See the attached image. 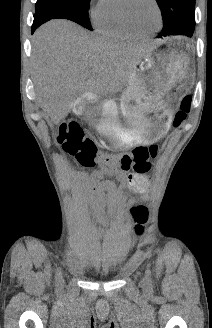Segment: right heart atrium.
I'll return each mask as SVG.
<instances>
[{"mask_svg": "<svg viewBox=\"0 0 212 328\" xmlns=\"http://www.w3.org/2000/svg\"><path fill=\"white\" fill-rule=\"evenodd\" d=\"M96 10H97V9H96ZM96 10H94V11L92 12L93 17H94V15H95V13H96Z\"/></svg>", "mask_w": 212, "mask_h": 328, "instance_id": "right-heart-atrium-1", "label": "right heart atrium"}]
</instances>
